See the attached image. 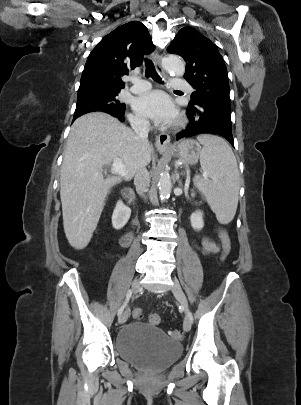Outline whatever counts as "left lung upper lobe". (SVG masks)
Here are the masks:
<instances>
[{"instance_id": "left-lung-upper-lobe-1", "label": "left lung upper lobe", "mask_w": 301, "mask_h": 405, "mask_svg": "<svg viewBox=\"0 0 301 405\" xmlns=\"http://www.w3.org/2000/svg\"><path fill=\"white\" fill-rule=\"evenodd\" d=\"M167 50L186 61L184 78L195 89L190 108L210 105L231 111L227 69L216 45L195 29L184 27Z\"/></svg>"}]
</instances>
